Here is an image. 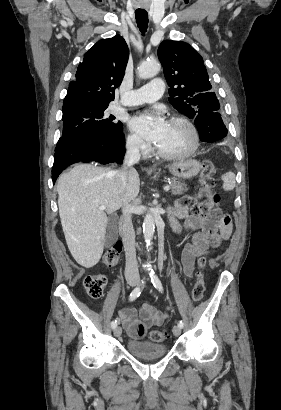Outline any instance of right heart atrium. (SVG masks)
<instances>
[{
    "label": "right heart atrium",
    "instance_id": "right-heart-atrium-1",
    "mask_svg": "<svg viewBox=\"0 0 281 410\" xmlns=\"http://www.w3.org/2000/svg\"><path fill=\"white\" fill-rule=\"evenodd\" d=\"M127 148L135 153L147 155L151 147L150 145L137 133H130L126 139Z\"/></svg>",
    "mask_w": 281,
    "mask_h": 410
}]
</instances>
